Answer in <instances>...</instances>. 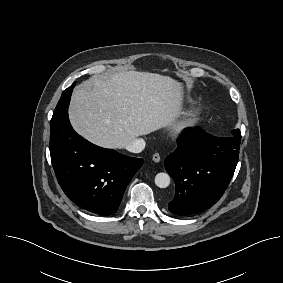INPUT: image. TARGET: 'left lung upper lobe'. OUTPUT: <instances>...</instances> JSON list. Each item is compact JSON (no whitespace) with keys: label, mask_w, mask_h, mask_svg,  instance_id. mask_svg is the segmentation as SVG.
I'll return each mask as SVG.
<instances>
[{"label":"left lung upper lobe","mask_w":283,"mask_h":283,"mask_svg":"<svg viewBox=\"0 0 283 283\" xmlns=\"http://www.w3.org/2000/svg\"><path fill=\"white\" fill-rule=\"evenodd\" d=\"M232 134H233V137L241 138V133L239 129L233 130Z\"/></svg>","instance_id":"1"}]
</instances>
